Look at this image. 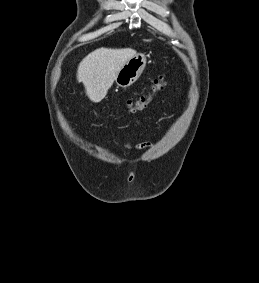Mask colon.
<instances>
[{"mask_svg":"<svg viewBox=\"0 0 259 283\" xmlns=\"http://www.w3.org/2000/svg\"><path fill=\"white\" fill-rule=\"evenodd\" d=\"M168 76L166 74L158 76L154 79L149 92L139 98L127 101L128 106L133 110L143 109L159 92L167 85Z\"/></svg>","mask_w":259,"mask_h":283,"instance_id":"colon-1","label":"colon"}]
</instances>
